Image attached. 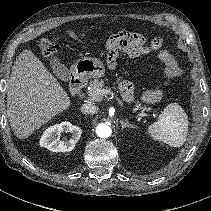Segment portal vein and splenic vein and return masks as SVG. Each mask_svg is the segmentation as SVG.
<instances>
[{"instance_id": "obj_1", "label": "portal vein and splenic vein", "mask_w": 211, "mask_h": 211, "mask_svg": "<svg viewBox=\"0 0 211 211\" xmlns=\"http://www.w3.org/2000/svg\"><path fill=\"white\" fill-rule=\"evenodd\" d=\"M109 93V91H107L105 94H108ZM139 116H145V114L144 113H141Z\"/></svg>"}]
</instances>
